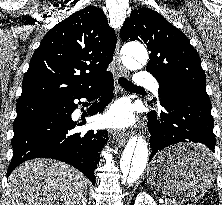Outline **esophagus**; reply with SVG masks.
Listing matches in <instances>:
<instances>
[{
  "instance_id": "obj_1",
  "label": "esophagus",
  "mask_w": 222,
  "mask_h": 205,
  "mask_svg": "<svg viewBox=\"0 0 222 205\" xmlns=\"http://www.w3.org/2000/svg\"><path fill=\"white\" fill-rule=\"evenodd\" d=\"M119 48H120V44L118 42L116 46V50H115V61H116L118 73L119 75L128 76L129 72L124 68V66L120 62ZM126 136L127 134L124 131H121L118 133V137H117L118 146H123L125 144Z\"/></svg>"
}]
</instances>
